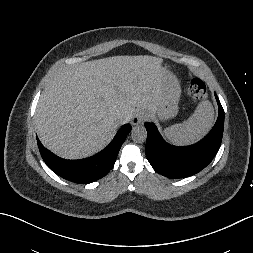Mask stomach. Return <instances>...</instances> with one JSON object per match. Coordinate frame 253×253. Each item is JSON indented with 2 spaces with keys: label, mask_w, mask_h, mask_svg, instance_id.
<instances>
[{
  "label": "stomach",
  "mask_w": 253,
  "mask_h": 253,
  "mask_svg": "<svg viewBox=\"0 0 253 253\" xmlns=\"http://www.w3.org/2000/svg\"><path fill=\"white\" fill-rule=\"evenodd\" d=\"M171 74L172 76H168L164 81V100L156 112L160 120H168L175 117L179 109L178 103L181 89L179 81L172 72Z\"/></svg>",
  "instance_id": "stomach-1"
}]
</instances>
